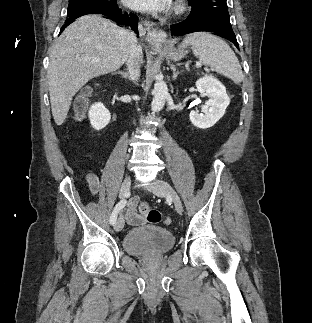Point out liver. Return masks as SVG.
<instances>
[{"label": "liver", "mask_w": 312, "mask_h": 323, "mask_svg": "<svg viewBox=\"0 0 312 323\" xmlns=\"http://www.w3.org/2000/svg\"><path fill=\"white\" fill-rule=\"evenodd\" d=\"M126 32L101 14H88L70 24L50 48L47 84L57 126L64 124L73 96L89 80L116 72L125 64Z\"/></svg>", "instance_id": "liver-1"}]
</instances>
